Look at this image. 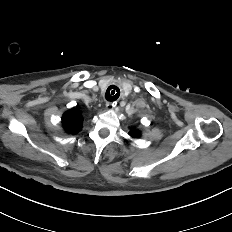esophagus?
Masks as SVG:
<instances>
[{
    "mask_svg": "<svg viewBox=\"0 0 232 232\" xmlns=\"http://www.w3.org/2000/svg\"><path fill=\"white\" fill-rule=\"evenodd\" d=\"M114 107H115V103H112V102H107L106 103V108L108 110H112V109H114Z\"/></svg>",
    "mask_w": 232,
    "mask_h": 232,
    "instance_id": "esophagus-1",
    "label": "esophagus"
}]
</instances>
